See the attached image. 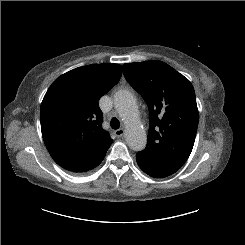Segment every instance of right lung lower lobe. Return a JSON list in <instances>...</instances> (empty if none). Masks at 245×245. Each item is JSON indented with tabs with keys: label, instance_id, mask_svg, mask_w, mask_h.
I'll list each match as a JSON object with an SVG mask.
<instances>
[{
	"label": "right lung lower lobe",
	"instance_id": "right-lung-lower-lobe-1",
	"mask_svg": "<svg viewBox=\"0 0 245 245\" xmlns=\"http://www.w3.org/2000/svg\"><path fill=\"white\" fill-rule=\"evenodd\" d=\"M107 151H105L104 153H102L89 167L85 168L84 170H82L81 172L79 173H82V172H86L88 170H91L93 169L94 167H96L99 163H101V161L103 160V158L105 157V154H106Z\"/></svg>",
	"mask_w": 245,
	"mask_h": 245
}]
</instances>
